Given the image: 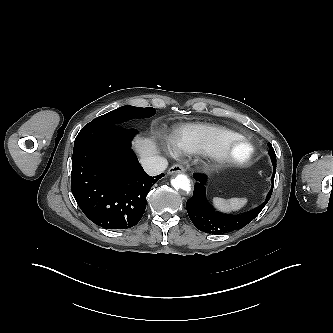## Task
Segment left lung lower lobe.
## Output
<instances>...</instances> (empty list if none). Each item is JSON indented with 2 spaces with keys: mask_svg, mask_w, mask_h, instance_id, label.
Instances as JSON below:
<instances>
[{
  "mask_svg": "<svg viewBox=\"0 0 333 333\" xmlns=\"http://www.w3.org/2000/svg\"><path fill=\"white\" fill-rule=\"evenodd\" d=\"M273 168L272 187L265 201L255 209L237 216L224 215L215 211L206 199V176L202 174L194 175L197 182L195 183L193 196L187 201L186 205L188 215L194 226L203 232L213 234H225L246 226L258 216L271 197L276 172V167Z\"/></svg>",
  "mask_w": 333,
  "mask_h": 333,
  "instance_id": "0a47b994",
  "label": "left lung lower lobe"
}]
</instances>
